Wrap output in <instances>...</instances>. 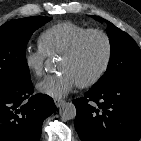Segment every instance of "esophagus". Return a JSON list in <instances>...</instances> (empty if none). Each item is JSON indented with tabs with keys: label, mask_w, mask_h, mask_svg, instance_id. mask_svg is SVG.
I'll return each instance as SVG.
<instances>
[{
	"label": "esophagus",
	"mask_w": 141,
	"mask_h": 141,
	"mask_svg": "<svg viewBox=\"0 0 141 141\" xmlns=\"http://www.w3.org/2000/svg\"><path fill=\"white\" fill-rule=\"evenodd\" d=\"M54 102L57 107H61L65 103V101L61 99H55Z\"/></svg>",
	"instance_id": "obj_1"
}]
</instances>
